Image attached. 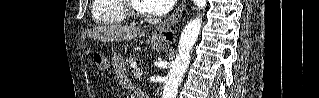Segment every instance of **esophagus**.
Instances as JSON below:
<instances>
[{
    "label": "esophagus",
    "instance_id": "esophagus-1",
    "mask_svg": "<svg viewBox=\"0 0 319 98\" xmlns=\"http://www.w3.org/2000/svg\"><path fill=\"white\" fill-rule=\"evenodd\" d=\"M185 9V1L178 4L174 12L160 23L152 32V38L171 44L176 40L174 27L181 20Z\"/></svg>",
    "mask_w": 319,
    "mask_h": 98
}]
</instances>
